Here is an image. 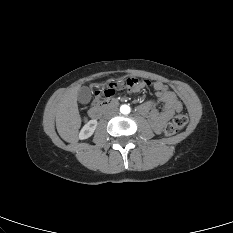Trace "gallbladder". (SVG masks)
Returning <instances> with one entry per match:
<instances>
[{"label":"gallbladder","mask_w":233,"mask_h":233,"mask_svg":"<svg viewBox=\"0 0 233 233\" xmlns=\"http://www.w3.org/2000/svg\"><path fill=\"white\" fill-rule=\"evenodd\" d=\"M91 96H92L91 95V90L88 87L83 86L78 91L77 100L81 104H86V103L90 102Z\"/></svg>","instance_id":"obj_1"}]
</instances>
